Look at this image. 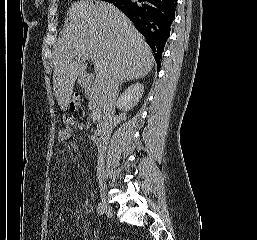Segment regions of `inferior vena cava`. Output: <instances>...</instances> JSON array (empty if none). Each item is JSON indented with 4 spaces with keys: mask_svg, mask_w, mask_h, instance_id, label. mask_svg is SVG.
Here are the masks:
<instances>
[{
    "mask_svg": "<svg viewBox=\"0 0 257 240\" xmlns=\"http://www.w3.org/2000/svg\"><path fill=\"white\" fill-rule=\"evenodd\" d=\"M120 85V77L114 74L111 79H109L104 86V99L105 107L103 111V125L102 132L107 137L111 130V122L114 113L115 102L118 96V89ZM104 159L102 156L98 158V171L103 170Z\"/></svg>",
    "mask_w": 257,
    "mask_h": 240,
    "instance_id": "1",
    "label": "inferior vena cava"
}]
</instances>
